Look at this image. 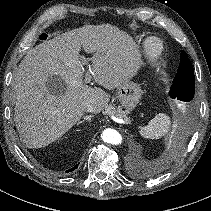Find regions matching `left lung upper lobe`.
<instances>
[{
  "label": "left lung upper lobe",
  "mask_w": 211,
  "mask_h": 211,
  "mask_svg": "<svg viewBox=\"0 0 211 211\" xmlns=\"http://www.w3.org/2000/svg\"><path fill=\"white\" fill-rule=\"evenodd\" d=\"M195 92V75L192 63L185 51L181 52L180 64L177 74L171 85L169 95L173 99H178L191 104Z\"/></svg>",
  "instance_id": "5c2ea615"
}]
</instances>
